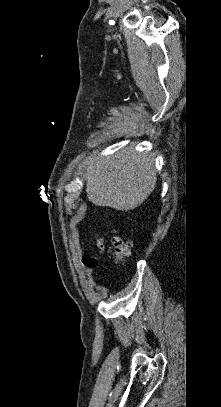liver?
Masks as SVG:
<instances>
[{"mask_svg":"<svg viewBox=\"0 0 221 407\" xmlns=\"http://www.w3.org/2000/svg\"><path fill=\"white\" fill-rule=\"evenodd\" d=\"M154 157L129 147L111 155L92 157L85 167L86 192L96 206L118 211L137 208L157 181Z\"/></svg>","mask_w":221,"mask_h":407,"instance_id":"obj_1","label":"liver"}]
</instances>
